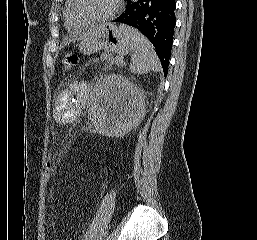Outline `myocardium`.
<instances>
[{"mask_svg": "<svg viewBox=\"0 0 257 240\" xmlns=\"http://www.w3.org/2000/svg\"><path fill=\"white\" fill-rule=\"evenodd\" d=\"M72 1V13L74 17L81 23L87 25H96L103 22H106L113 18L115 14L118 12L121 0H116L113 9L106 15L102 17H90L85 15L80 9L81 0H71Z\"/></svg>", "mask_w": 257, "mask_h": 240, "instance_id": "f54148a6", "label": "myocardium"}]
</instances>
